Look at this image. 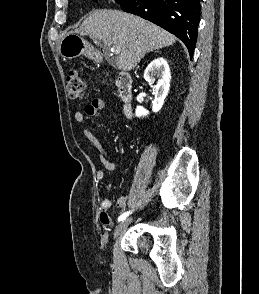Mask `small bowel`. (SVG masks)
I'll list each match as a JSON object with an SVG mask.
<instances>
[{
	"instance_id": "1",
	"label": "small bowel",
	"mask_w": 259,
	"mask_h": 294,
	"mask_svg": "<svg viewBox=\"0 0 259 294\" xmlns=\"http://www.w3.org/2000/svg\"><path fill=\"white\" fill-rule=\"evenodd\" d=\"M105 107H106V102L103 99H94L85 106L84 112L77 111L74 115V118L79 123H82L85 120L86 116L97 118L100 112L105 109ZM84 135L91 142V144L96 148L99 160L102 163V165L107 170L113 171L115 169V163L105 151L98 137L92 132H90L89 130H84ZM96 177L99 181L104 180L105 172L103 170H99L96 174ZM110 188H111V184L108 185V190H110ZM111 206H112V201L109 198L102 199L100 203L99 220L105 226H110L112 224V220L109 216V210ZM117 206L119 208H124L126 206V198L124 196H120L118 198Z\"/></svg>"
}]
</instances>
